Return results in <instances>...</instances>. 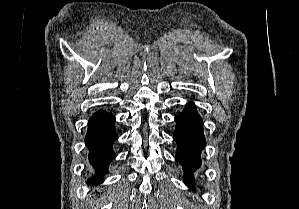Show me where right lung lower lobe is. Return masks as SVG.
I'll list each match as a JSON object with an SVG mask.
<instances>
[{
  "mask_svg": "<svg viewBox=\"0 0 299 209\" xmlns=\"http://www.w3.org/2000/svg\"><path fill=\"white\" fill-rule=\"evenodd\" d=\"M114 123L115 117L102 109L89 119L85 143L88 161L94 172L88 180L89 185L102 183V176L108 172L109 164L116 156L112 149L118 139Z\"/></svg>",
  "mask_w": 299,
  "mask_h": 209,
  "instance_id": "right-lung-lower-lobe-1",
  "label": "right lung lower lobe"
}]
</instances>
